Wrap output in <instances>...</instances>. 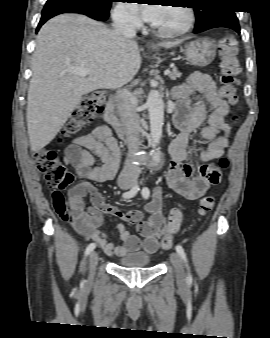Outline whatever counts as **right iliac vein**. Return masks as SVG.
Returning <instances> with one entry per match:
<instances>
[{
    "instance_id": "1",
    "label": "right iliac vein",
    "mask_w": 270,
    "mask_h": 338,
    "mask_svg": "<svg viewBox=\"0 0 270 338\" xmlns=\"http://www.w3.org/2000/svg\"><path fill=\"white\" fill-rule=\"evenodd\" d=\"M121 188L126 190V189L130 188V185L123 184V185H121ZM97 264H98V255H97L96 252L93 251V252H91L90 258H89V276H88V282L89 283L93 281Z\"/></svg>"
}]
</instances>
